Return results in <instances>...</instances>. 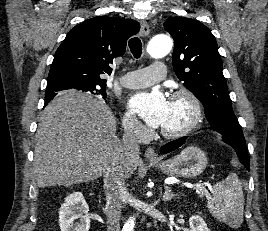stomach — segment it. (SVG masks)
Wrapping results in <instances>:
<instances>
[{
  "label": "stomach",
  "instance_id": "0dacf381",
  "mask_svg": "<svg viewBox=\"0 0 268 231\" xmlns=\"http://www.w3.org/2000/svg\"><path fill=\"white\" fill-rule=\"evenodd\" d=\"M208 160L205 152L195 146H189L177 156L154 165L168 176L194 178L205 170Z\"/></svg>",
  "mask_w": 268,
  "mask_h": 231
}]
</instances>
